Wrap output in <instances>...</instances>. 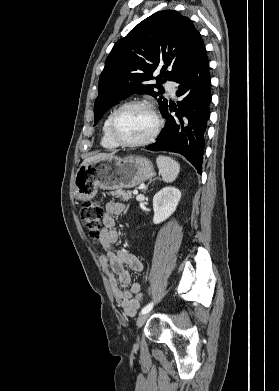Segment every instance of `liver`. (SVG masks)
<instances>
[{
    "label": "liver",
    "instance_id": "1",
    "mask_svg": "<svg viewBox=\"0 0 279 391\" xmlns=\"http://www.w3.org/2000/svg\"><path fill=\"white\" fill-rule=\"evenodd\" d=\"M112 157H114V153H100V154H97V155H94V156L86 158L82 162L81 166L85 165V164H88L90 162H93V161L106 160V159H109V158H112Z\"/></svg>",
    "mask_w": 279,
    "mask_h": 391
}]
</instances>
